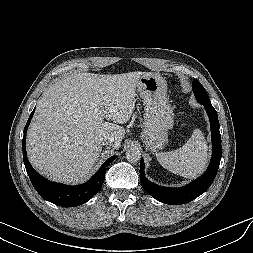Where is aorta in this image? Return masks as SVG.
<instances>
[{
    "mask_svg": "<svg viewBox=\"0 0 253 253\" xmlns=\"http://www.w3.org/2000/svg\"><path fill=\"white\" fill-rule=\"evenodd\" d=\"M141 158V152L138 148H130L126 152V159L130 163H136Z\"/></svg>",
    "mask_w": 253,
    "mask_h": 253,
    "instance_id": "1",
    "label": "aorta"
}]
</instances>
